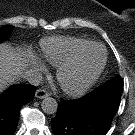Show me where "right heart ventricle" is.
Segmentation results:
<instances>
[{
  "label": "right heart ventricle",
  "mask_w": 135,
  "mask_h": 135,
  "mask_svg": "<svg viewBox=\"0 0 135 135\" xmlns=\"http://www.w3.org/2000/svg\"><path fill=\"white\" fill-rule=\"evenodd\" d=\"M92 42L91 40L77 37H47L40 43V55L48 63L58 66Z\"/></svg>",
  "instance_id": "1"
}]
</instances>
